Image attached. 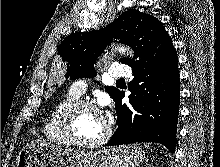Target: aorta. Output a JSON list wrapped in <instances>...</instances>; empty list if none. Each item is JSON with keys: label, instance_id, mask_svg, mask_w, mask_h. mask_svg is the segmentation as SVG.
<instances>
[{"label": "aorta", "instance_id": "aorta-1", "mask_svg": "<svg viewBox=\"0 0 220 167\" xmlns=\"http://www.w3.org/2000/svg\"><path fill=\"white\" fill-rule=\"evenodd\" d=\"M118 50L119 52H122V53L126 51V49H124L123 47L119 48Z\"/></svg>", "mask_w": 220, "mask_h": 167}]
</instances>
